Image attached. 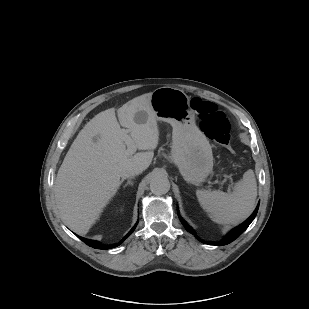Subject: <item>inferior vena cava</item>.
<instances>
[{"mask_svg":"<svg viewBox=\"0 0 309 309\" xmlns=\"http://www.w3.org/2000/svg\"><path fill=\"white\" fill-rule=\"evenodd\" d=\"M142 172H143L142 167H132V168L124 171L121 177L123 179H125V178H128L130 176L141 174Z\"/></svg>","mask_w":309,"mask_h":309,"instance_id":"602c4592","label":"inferior vena cava"}]
</instances>
